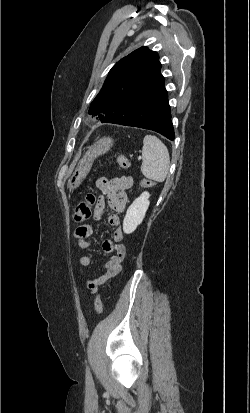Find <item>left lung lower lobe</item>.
<instances>
[{"label":"left lung lower lobe","mask_w":250,"mask_h":413,"mask_svg":"<svg viewBox=\"0 0 250 413\" xmlns=\"http://www.w3.org/2000/svg\"><path fill=\"white\" fill-rule=\"evenodd\" d=\"M102 122L149 129L174 140L164 78L138 84L133 95Z\"/></svg>","instance_id":"0a47b994"}]
</instances>
